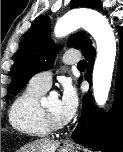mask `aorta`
Here are the masks:
<instances>
[{"instance_id": "aorta-1", "label": "aorta", "mask_w": 123, "mask_h": 152, "mask_svg": "<svg viewBox=\"0 0 123 152\" xmlns=\"http://www.w3.org/2000/svg\"><path fill=\"white\" fill-rule=\"evenodd\" d=\"M84 28L96 41L97 57L93 69V94L98 106L108 99L116 57V40L108 20L96 11L68 12L55 25L56 37H64L78 28Z\"/></svg>"}]
</instances>
